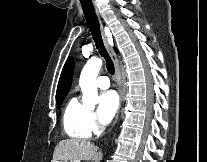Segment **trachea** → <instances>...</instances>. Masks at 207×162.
I'll use <instances>...</instances> for the list:
<instances>
[{
	"instance_id": "obj_1",
	"label": "trachea",
	"mask_w": 207,
	"mask_h": 162,
	"mask_svg": "<svg viewBox=\"0 0 207 162\" xmlns=\"http://www.w3.org/2000/svg\"><path fill=\"white\" fill-rule=\"evenodd\" d=\"M80 2L82 5V9H83L88 27L90 29L92 36H93V40L95 42V45H96L100 55L102 57H104V59L106 60V67H107L108 72L111 75H113L115 72L114 64H113L105 46H104L101 32H100V28H99V23H98L97 17L94 12L92 1L91 0H80Z\"/></svg>"
}]
</instances>
